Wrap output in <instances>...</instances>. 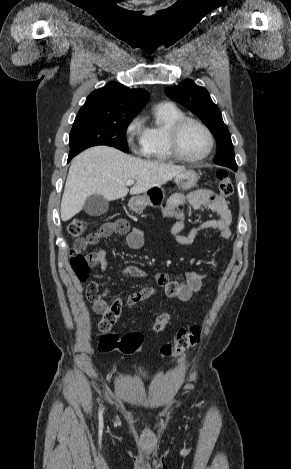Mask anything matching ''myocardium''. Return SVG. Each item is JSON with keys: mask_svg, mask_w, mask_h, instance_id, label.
Wrapping results in <instances>:
<instances>
[{"mask_svg": "<svg viewBox=\"0 0 291 469\" xmlns=\"http://www.w3.org/2000/svg\"><path fill=\"white\" fill-rule=\"evenodd\" d=\"M188 123H194L200 126L204 130L208 138V148L206 152L197 158H189L185 156L180 148L181 132ZM214 143V136L210 128L204 122L194 117L184 116L178 119L171 125L168 131V145L172 156L175 159L185 163H200L207 159L213 151Z\"/></svg>", "mask_w": 291, "mask_h": 469, "instance_id": "1", "label": "myocardium"}]
</instances>
